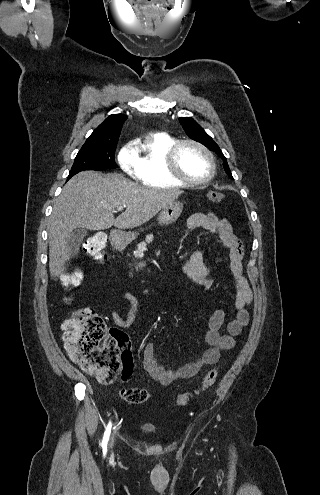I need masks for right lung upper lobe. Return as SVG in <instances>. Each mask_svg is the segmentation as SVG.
<instances>
[{"instance_id": "cb5924a9", "label": "right lung upper lobe", "mask_w": 320, "mask_h": 495, "mask_svg": "<svg viewBox=\"0 0 320 495\" xmlns=\"http://www.w3.org/2000/svg\"><path fill=\"white\" fill-rule=\"evenodd\" d=\"M127 119L124 114H112L88 137L83 146L117 144L122 125Z\"/></svg>"}]
</instances>
